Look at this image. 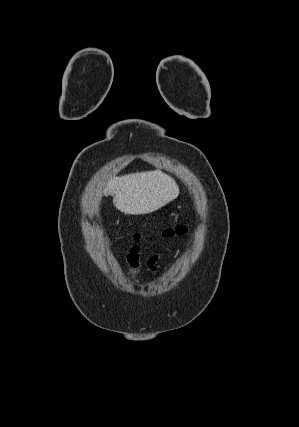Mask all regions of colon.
<instances>
[{
    "label": "colon",
    "mask_w": 299,
    "mask_h": 427,
    "mask_svg": "<svg viewBox=\"0 0 299 427\" xmlns=\"http://www.w3.org/2000/svg\"><path fill=\"white\" fill-rule=\"evenodd\" d=\"M186 231H187L186 226L178 225L174 228H169V229L164 230L163 235L165 237H173L175 235H182V234L186 233Z\"/></svg>",
    "instance_id": "colon-1"
}]
</instances>
